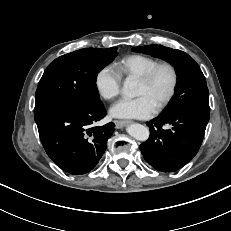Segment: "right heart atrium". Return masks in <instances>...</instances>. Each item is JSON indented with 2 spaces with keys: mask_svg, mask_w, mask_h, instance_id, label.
<instances>
[{
  "mask_svg": "<svg viewBox=\"0 0 231 231\" xmlns=\"http://www.w3.org/2000/svg\"><path fill=\"white\" fill-rule=\"evenodd\" d=\"M95 87L101 97L112 100L120 93L121 75L114 67L103 66L95 76Z\"/></svg>",
  "mask_w": 231,
  "mask_h": 231,
  "instance_id": "1",
  "label": "right heart atrium"
}]
</instances>
